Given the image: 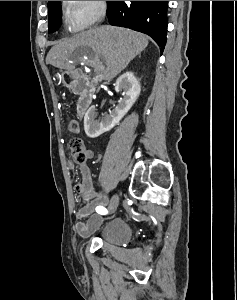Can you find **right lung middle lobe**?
Listing matches in <instances>:
<instances>
[{
	"label": "right lung middle lobe",
	"mask_w": 237,
	"mask_h": 300,
	"mask_svg": "<svg viewBox=\"0 0 237 300\" xmlns=\"http://www.w3.org/2000/svg\"><path fill=\"white\" fill-rule=\"evenodd\" d=\"M48 33L55 32L61 25L62 9L60 1L48 2Z\"/></svg>",
	"instance_id": "obj_1"
}]
</instances>
